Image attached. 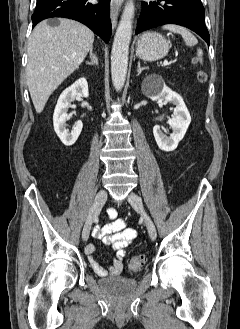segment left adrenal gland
<instances>
[{"mask_svg":"<svg viewBox=\"0 0 240 329\" xmlns=\"http://www.w3.org/2000/svg\"><path fill=\"white\" fill-rule=\"evenodd\" d=\"M145 69H148V67H141L140 62H138V66H137V76H139L141 74V72Z\"/></svg>","mask_w":240,"mask_h":329,"instance_id":"left-adrenal-gland-1","label":"left adrenal gland"}]
</instances>
